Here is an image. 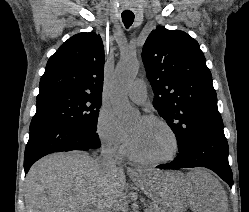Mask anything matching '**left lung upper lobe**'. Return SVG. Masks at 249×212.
<instances>
[{
  "mask_svg": "<svg viewBox=\"0 0 249 212\" xmlns=\"http://www.w3.org/2000/svg\"><path fill=\"white\" fill-rule=\"evenodd\" d=\"M153 105L176 135L178 149L202 131L223 129L210 70L198 42L187 33L158 27L142 50Z\"/></svg>",
  "mask_w": 249,
  "mask_h": 212,
  "instance_id": "obj_1",
  "label": "left lung upper lobe"
}]
</instances>
